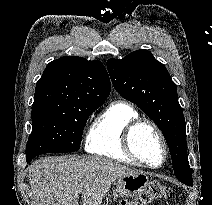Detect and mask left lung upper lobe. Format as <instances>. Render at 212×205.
I'll list each match as a JSON object with an SVG mask.
<instances>
[{
	"instance_id": "5c2ea615",
	"label": "left lung upper lobe",
	"mask_w": 212,
	"mask_h": 205,
	"mask_svg": "<svg viewBox=\"0 0 212 205\" xmlns=\"http://www.w3.org/2000/svg\"><path fill=\"white\" fill-rule=\"evenodd\" d=\"M107 68L117 92L135 103L161 129L177 179L187 185L193 184L187 156L186 123L176 84L165 65L148 50H137L122 59H109Z\"/></svg>"
}]
</instances>
